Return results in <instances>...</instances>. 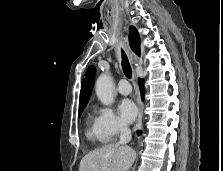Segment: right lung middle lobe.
Returning a JSON list of instances; mask_svg holds the SVG:
<instances>
[{
	"label": "right lung middle lobe",
	"instance_id": "dd1d6c3e",
	"mask_svg": "<svg viewBox=\"0 0 223 171\" xmlns=\"http://www.w3.org/2000/svg\"><path fill=\"white\" fill-rule=\"evenodd\" d=\"M86 106H83V107H79V112H78V116H80L84 110Z\"/></svg>",
	"mask_w": 223,
	"mask_h": 171
}]
</instances>
